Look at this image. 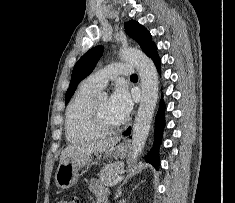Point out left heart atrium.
<instances>
[{
	"mask_svg": "<svg viewBox=\"0 0 235 203\" xmlns=\"http://www.w3.org/2000/svg\"><path fill=\"white\" fill-rule=\"evenodd\" d=\"M112 112L123 122L132 110V99L128 90L119 86L115 89L109 99Z\"/></svg>",
	"mask_w": 235,
	"mask_h": 203,
	"instance_id": "1",
	"label": "left heart atrium"
}]
</instances>
